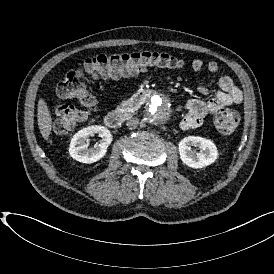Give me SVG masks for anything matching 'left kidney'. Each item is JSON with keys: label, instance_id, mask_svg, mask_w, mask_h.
<instances>
[{"label": "left kidney", "instance_id": "left-kidney-1", "mask_svg": "<svg viewBox=\"0 0 274 274\" xmlns=\"http://www.w3.org/2000/svg\"><path fill=\"white\" fill-rule=\"evenodd\" d=\"M192 146H197L200 152L194 153ZM180 159L186 166L193 169L205 168L214 163L218 158L217 145L210 139L199 136H188L178 145Z\"/></svg>", "mask_w": 274, "mask_h": 274}]
</instances>
